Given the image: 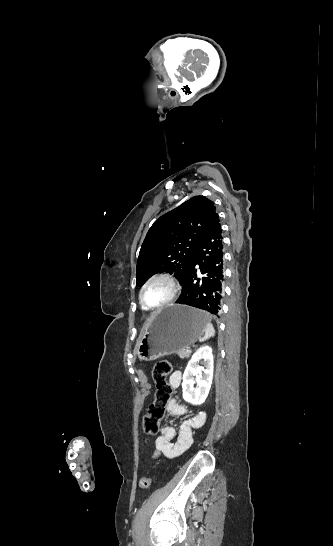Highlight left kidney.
<instances>
[{
  "mask_svg": "<svg viewBox=\"0 0 333 546\" xmlns=\"http://www.w3.org/2000/svg\"><path fill=\"white\" fill-rule=\"evenodd\" d=\"M200 363L203 366H199ZM213 363L212 349L207 345L193 354L183 374L182 391L185 401L200 405L206 400L213 379ZM195 383L197 388H194Z\"/></svg>",
  "mask_w": 333,
  "mask_h": 546,
  "instance_id": "5707ae66",
  "label": "left kidney"
}]
</instances>
